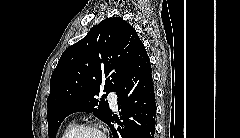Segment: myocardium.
<instances>
[{
	"label": "myocardium",
	"mask_w": 240,
	"mask_h": 138,
	"mask_svg": "<svg viewBox=\"0 0 240 138\" xmlns=\"http://www.w3.org/2000/svg\"><path fill=\"white\" fill-rule=\"evenodd\" d=\"M87 130L95 131L100 134L101 138H105L104 133L101 130V128L94 123H85V124L76 126V128L68 135L67 138H78V136L82 132L87 131Z\"/></svg>",
	"instance_id": "1"
}]
</instances>
